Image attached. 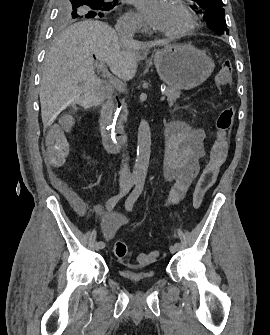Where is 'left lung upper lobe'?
Listing matches in <instances>:
<instances>
[{"label":"left lung upper lobe","instance_id":"5c2ea615","mask_svg":"<svg viewBox=\"0 0 270 335\" xmlns=\"http://www.w3.org/2000/svg\"><path fill=\"white\" fill-rule=\"evenodd\" d=\"M190 7L202 16L208 26L220 35L229 34L226 28L222 0H192Z\"/></svg>","mask_w":270,"mask_h":335}]
</instances>
